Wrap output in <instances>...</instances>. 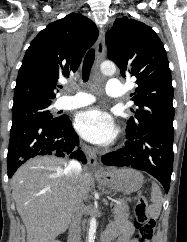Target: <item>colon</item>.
<instances>
[{"label": "colon", "mask_w": 187, "mask_h": 242, "mask_svg": "<svg viewBox=\"0 0 187 242\" xmlns=\"http://www.w3.org/2000/svg\"><path fill=\"white\" fill-rule=\"evenodd\" d=\"M148 202L144 196H140L135 205V226L138 233L134 242H150L156 230V222L150 218L147 212Z\"/></svg>", "instance_id": "colon-1"}]
</instances>
